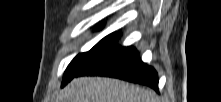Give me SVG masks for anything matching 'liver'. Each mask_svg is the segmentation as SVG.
Returning <instances> with one entry per match:
<instances>
[{
	"label": "liver",
	"instance_id": "1",
	"mask_svg": "<svg viewBox=\"0 0 221 102\" xmlns=\"http://www.w3.org/2000/svg\"><path fill=\"white\" fill-rule=\"evenodd\" d=\"M65 102H157L155 93L118 79L75 78L64 89Z\"/></svg>",
	"mask_w": 221,
	"mask_h": 102
}]
</instances>
